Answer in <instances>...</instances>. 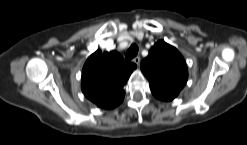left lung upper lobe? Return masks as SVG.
<instances>
[{"label": "left lung upper lobe", "instance_id": "5c2ea615", "mask_svg": "<svg viewBox=\"0 0 247 145\" xmlns=\"http://www.w3.org/2000/svg\"><path fill=\"white\" fill-rule=\"evenodd\" d=\"M141 70L150 82L152 93H161L175 98L188 78L185 60L179 51L160 40L151 47L142 61Z\"/></svg>", "mask_w": 247, "mask_h": 145}]
</instances>
